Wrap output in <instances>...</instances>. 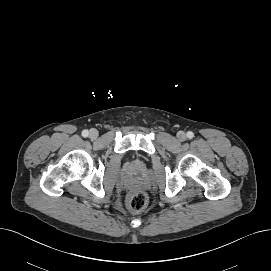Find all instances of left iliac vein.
<instances>
[{
    "instance_id": "1",
    "label": "left iliac vein",
    "mask_w": 271,
    "mask_h": 271,
    "mask_svg": "<svg viewBox=\"0 0 271 271\" xmlns=\"http://www.w3.org/2000/svg\"><path fill=\"white\" fill-rule=\"evenodd\" d=\"M177 138L179 141H184L186 139V134L183 131L177 133Z\"/></svg>"
}]
</instances>
